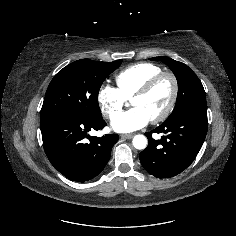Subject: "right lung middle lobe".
<instances>
[{"label": "right lung middle lobe", "mask_w": 236, "mask_h": 236, "mask_svg": "<svg viewBox=\"0 0 236 236\" xmlns=\"http://www.w3.org/2000/svg\"><path fill=\"white\" fill-rule=\"evenodd\" d=\"M121 62L81 59L64 67L48 86L40 119L59 112H69L89 119L102 118L98 105L100 87Z\"/></svg>", "instance_id": "dd1d6c3e"}]
</instances>
